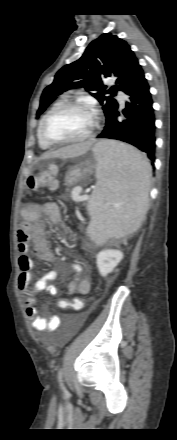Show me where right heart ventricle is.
<instances>
[{"label": "right heart ventricle", "mask_w": 177, "mask_h": 440, "mask_svg": "<svg viewBox=\"0 0 177 440\" xmlns=\"http://www.w3.org/2000/svg\"><path fill=\"white\" fill-rule=\"evenodd\" d=\"M66 102H68V97H67V96H62V97L58 98L57 100H55V101L50 105V107L48 108V110L45 112V114H44L43 117L41 118L40 123H39V126H38V130H37L38 141H39V145H40L41 148H43V149H48V148H50V147L52 146L51 144H49L48 142H46V141L42 138V136H41V125H42L43 120L45 119V117H46V116H47V115H48L53 109H55L56 107H58V106H60V105H62V104H64V103H66Z\"/></svg>", "instance_id": "e07e8e85"}]
</instances>
